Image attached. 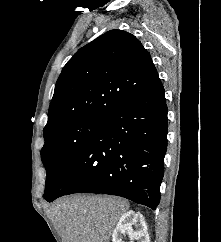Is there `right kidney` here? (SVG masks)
I'll return each instance as SVG.
<instances>
[{"instance_id": "1", "label": "right kidney", "mask_w": 221, "mask_h": 242, "mask_svg": "<svg viewBox=\"0 0 221 242\" xmlns=\"http://www.w3.org/2000/svg\"><path fill=\"white\" fill-rule=\"evenodd\" d=\"M132 226L135 227V230ZM126 234H128L130 242L134 240L138 242H150L147 225L141 213L132 210L124 213L112 233V242H124L122 238Z\"/></svg>"}]
</instances>
